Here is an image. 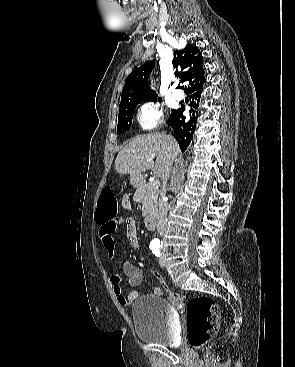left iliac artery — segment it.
<instances>
[{
  "label": "left iliac artery",
  "instance_id": "44dca946",
  "mask_svg": "<svg viewBox=\"0 0 295 367\" xmlns=\"http://www.w3.org/2000/svg\"><path fill=\"white\" fill-rule=\"evenodd\" d=\"M151 250H152V252L155 256H160V248L159 247H155Z\"/></svg>",
  "mask_w": 295,
  "mask_h": 367
}]
</instances>
